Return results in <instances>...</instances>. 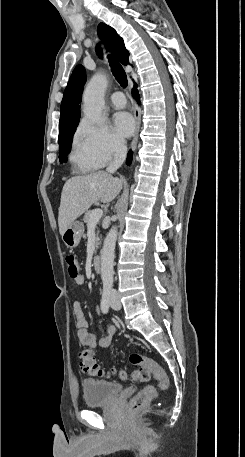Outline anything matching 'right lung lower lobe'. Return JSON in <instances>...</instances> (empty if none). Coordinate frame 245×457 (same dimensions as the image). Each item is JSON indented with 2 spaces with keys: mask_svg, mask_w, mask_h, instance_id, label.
<instances>
[{
  "mask_svg": "<svg viewBox=\"0 0 245 457\" xmlns=\"http://www.w3.org/2000/svg\"><path fill=\"white\" fill-rule=\"evenodd\" d=\"M137 85L135 84V88L133 89V96L136 100H139V94H138V91L136 89ZM131 160H132V153L131 151L128 153V158H127V164H130L131 163Z\"/></svg>",
  "mask_w": 245,
  "mask_h": 457,
  "instance_id": "1",
  "label": "right lung lower lobe"
}]
</instances>
